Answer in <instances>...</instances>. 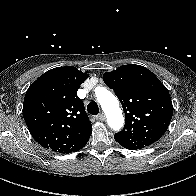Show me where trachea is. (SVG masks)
I'll return each mask as SVG.
<instances>
[{"label": "trachea", "mask_w": 196, "mask_h": 196, "mask_svg": "<svg viewBox=\"0 0 196 196\" xmlns=\"http://www.w3.org/2000/svg\"><path fill=\"white\" fill-rule=\"evenodd\" d=\"M87 111L88 113H90L91 115H97L99 113V107L98 104L94 101L90 102L87 105Z\"/></svg>", "instance_id": "3493384b"}]
</instances>
